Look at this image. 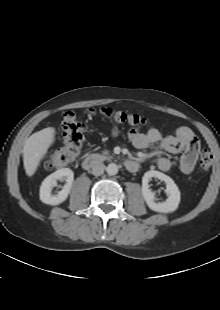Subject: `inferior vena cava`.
<instances>
[{"instance_id":"inferior-vena-cava-1","label":"inferior vena cava","mask_w":220,"mask_h":310,"mask_svg":"<svg viewBox=\"0 0 220 310\" xmlns=\"http://www.w3.org/2000/svg\"><path fill=\"white\" fill-rule=\"evenodd\" d=\"M105 165L101 162H97L92 166V174L95 176H100L104 173Z\"/></svg>"}]
</instances>
